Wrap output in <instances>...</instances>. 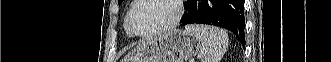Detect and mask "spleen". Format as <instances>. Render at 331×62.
Instances as JSON below:
<instances>
[{"mask_svg":"<svg viewBox=\"0 0 331 62\" xmlns=\"http://www.w3.org/2000/svg\"><path fill=\"white\" fill-rule=\"evenodd\" d=\"M185 30L194 35L201 42V62H220L228 47V35L222 29L193 24L187 25Z\"/></svg>","mask_w":331,"mask_h":62,"instance_id":"1","label":"spleen"}]
</instances>
